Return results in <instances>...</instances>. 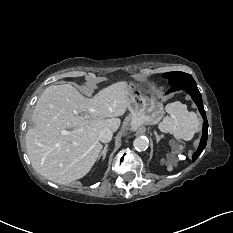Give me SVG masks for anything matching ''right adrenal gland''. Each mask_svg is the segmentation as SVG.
<instances>
[{"instance_id": "2a0ac1e0", "label": "right adrenal gland", "mask_w": 233, "mask_h": 233, "mask_svg": "<svg viewBox=\"0 0 233 233\" xmlns=\"http://www.w3.org/2000/svg\"><path fill=\"white\" fill-rule=\"evenodd\" d=\"M107 151H108V144H106V145L104 146V149L102 150L101 154L99 155L98 160H99L101 157H102V160H104Z\"/></svg>"}]
</instances>
